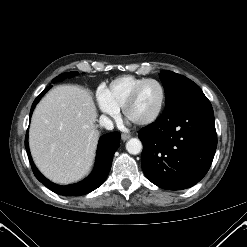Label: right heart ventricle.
<instances>
[{
	"mask_svg": "<svg viewBox=\"0 0 247 247\" xmlns=\"http://www.w3.org/2000/svg\"><path fill=\"white\" fill-rule=\"evenodd\" d=\"M145 79L146 78L133 75H124L115 78L110 82L108 87L105 88L108 100L117 109L122 108L133 88Z\"/></svg>",
	"mask_w": 247,
	"mask_h": 247,
	"instance_id": "1",
	"label": "right heart ventricle"
}]
</instances>
